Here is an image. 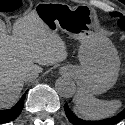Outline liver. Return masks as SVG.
Instances as JSON below:
<instances>
[{"instance_id": "liver-1", "label": "liver", "mask_w": 125, "mask_h": 125, "mask_svg": "<svg viewBox=\"0 0 125 125\" xmlns=\"http://www.w3.org/2000/svg\"><path fill=\"white\" fill-rule=\"evenodd\" d=\"M66 58L65 43L35 11L17 19L12 34H8L0 20V109L9 108L18 100L24 85L23 74L39 73L40 65H51Z\"/></svg>"}]
</instances>
